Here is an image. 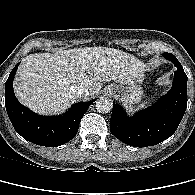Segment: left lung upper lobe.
Segmentation results:
<instances>
[{
	"label": "left lung upper lobe",
	"instance_id": "1",
	"mask_svg": "<svg viewBox=\"0 0 195 195\" xmlns=\"http://www.w3.org/2000/svg\"><path fill=\"white\" fill-rule=\"evenodd\" d=\"M163 56H164L166 59L172 61L173 63L179 62V61L177 60V58H176L173 54H171V53H164Z\"/></svg>",
	"mask_w": 195,
	"mask_h": 195
}]
</instances>
